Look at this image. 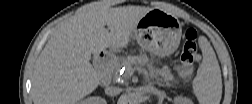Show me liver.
<instances>
[{
	"instance_id": "1",
	"label": "liver",
	"mask_w": 252,
	"mask_h": 104,
	"mask_svg": "<svg viewBox=\"0 0 252 104\" xmlns=\"http://www.w3.org/2000/svg\"><path fill=\"white\" fill-rule=\"evenodd\" d=\"M152 9L109 8L94 2L63 22L36 60L31 89L34 103L73 104L92 93L102 76L90 64L91 55L109 47H127L138 22Z\"/></svg>"
}]
</instances>
